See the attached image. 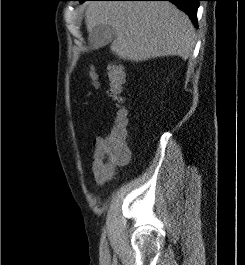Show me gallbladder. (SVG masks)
I'll use <instances>...</instances> for the list:
<instances>
[{"label":"gallbladder","instance_id":"obj_1","mask_svg":"<svg viewBox=\"0 0 245 265\" xmlns=\"http://www.w3.org/2000/svg\"><path fill=\"white\" fill-rule=\"evenodd\" d=\"M115 36L114 29L107 24H98L89 31L88 40L94 49L110 44Z\"/></svg>","mask_w":245,"mask_h":265}]
</instances>
